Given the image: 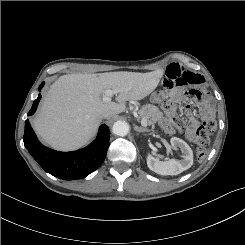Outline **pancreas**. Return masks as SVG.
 Wrapping results in <instances>:
<instances>
[{
  "label": "pancreas",
  "instance_id": "cf45deb5",
  "mask_svg": "<svg viewBox=\"0 0 245 245\" xmlns=\"http://www.w3.org/2000/svg\"><path fill=\"white\" fill-rule=\"evenodd\" d=\"M139 115L141 119L147 121L148 125L154 126V124L162 117V112L158 107L148 104L140 109Z\"/></svg>",
  "mask_w": 245,
  "mask_h": 245
}]
</instances>
